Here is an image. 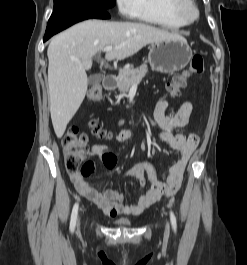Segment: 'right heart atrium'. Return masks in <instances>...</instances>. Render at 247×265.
Instances as JSON below:
<instances>
[{"label":"right heart atrium","instance_id":"right-heart-atrium-1","mask_svg":"<svg viewBox=\"0 0 247 265\" xmlns=\"http://www.w3.org/2000/svg\"><path fill=\"white\" fill-rule=\"evenodd\" d=\"M118 9L122 15L133 17L138 9V0H116Z\"/></svg>","mask_w":247,"mask_h":265}]
</instances>
